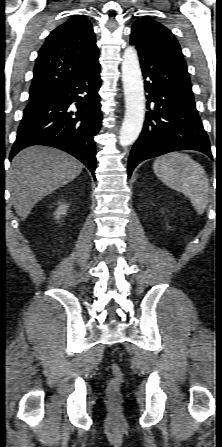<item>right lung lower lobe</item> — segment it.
<instances>
[{
    "instance_id": "right-lung-lower-lobe-1",
    "label": "right lung lower lobe",
    "mask_w": 222,
    "mask_h": 447,
    "mask_svg": "<svg viewBox=\"0 0 222 447\" xmlns=\"http://www.w3.org/2000/svg\"><path fill=\"white\" fill-rule=\"evenodd\" d=\"M100 64L85 71L51 96L29 103L24 110L11 160L32 145H47L79 159L95 177L96 146L93 137L101 127Z\"/></svg>"
}]
</instances>
